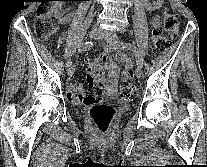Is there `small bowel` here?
I'll return each mask as SVG.
<instances>
[{
  "instance_id": "small-bowel-1",
  "label": "small bowel",
  "mask_w": 207,
  "mask_h": 167,
  "mask_svg": "<svg viewBox=\"0 0 207 167\" xmlns=\"http://www.w3.org/2000/svg\"><path fill=\"white\" fill-rule=\"evenodd\" d=\"M154 2H160V0H153ZM153 8V7H148ZM160 24L159 18L154 17L152 19V26L158 28ZM109 49H107V52ZM101 60L105 62V68L108 72V78H105L103 74V67L96 62L90 63L87 67V80L91 87H98L101 89V94L106 96H114L118 83L119 69L115 61L108 53L101 57ZM119 60L124 66L123 78L129 79L132 74V63L125 55H119ZM66 93L68 100L74 105H91L96 103L101 94H94L87 96L82 85L69 83L66 86Z\"/></svg>"
}]
</instances>
